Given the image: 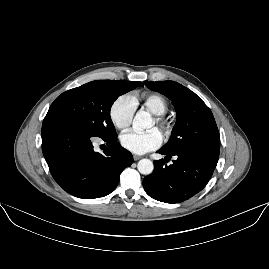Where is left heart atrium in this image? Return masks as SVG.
<instances>
[{
  "label": "left heart atrium",
  "instance_id": "obj_1",
  "mask_svg": "<svg viewBox=\"0 0 269 269\" xmlns=\"http://www.w3.org/2000/svg\"><path fill=\"white\" fill-rule=\"evenodd\" d=\"M121 146L134 154H145L162 144V135L158 129L146 133L126 131L120 135Z\"/></svg>",
  "mask_w": 269,
  "mask_h": 269
}]
</instances>
